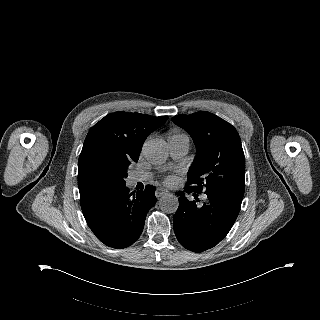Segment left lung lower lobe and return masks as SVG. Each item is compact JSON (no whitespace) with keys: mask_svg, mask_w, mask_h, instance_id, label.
Instances as JSON below:
<instances>
[{"mask_svg":"<svg viewBox=\"0 0 320 320\" xmlns=\"http://www.w3.org/2000/svg\"><path fill=\"white\" fill-rule=\"evenodd\" d=\"M185 192L192 191L187 185ZM206 200L198 204L178 192L179 207L173 217L174 232L183 247L203 252L216 246L230 231L240 211L243 197L226 190L207 192Z\"/></svg>","mask_w":320,"mask_h":320,"instance_id":"obj_1","label":"left lung lower lobe"}]
</instances>
